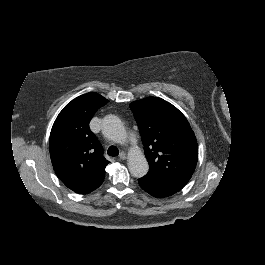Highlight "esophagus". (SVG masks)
<instances>
[{
	"label": "esophagus",
	"mask_w": 265,
	"mask_h": 265,
	"mask_svg": "<svg viewBox=\"0 0 265 265\" xmlns=\"http://www.w3.org/2000/svg\"><path fill=\"white\" fill-rule=\"evenodd\" d=\"M119 159L120 160H125L126 159V153L124 151H122L120 154H119Z\"/></svg>",
	"instance_id": "esophagus-1"
}]
</instances>
